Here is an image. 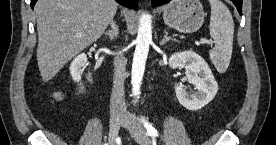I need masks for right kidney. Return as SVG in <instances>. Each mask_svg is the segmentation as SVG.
Here are the masks:
<instances>
[{
    "label": "right kidney",
    "instance_id": "obj_1",
    "mask_svg": "<svg viewBox=\"0 0 276 145\" xmlns=\"http://www.w3.org/2000/svg\"><path fill=\"white\" fill-rule=\"evenodd\" d=\"M86 62H87V56L85 53H82L77 57H75L70 65V74L72 76V79L75 82L80 83V86H82L81 75L84 71V66Z\"/></svg>",
    "mask_w": 276,
    "mask_h": 145
}]
</instances>
